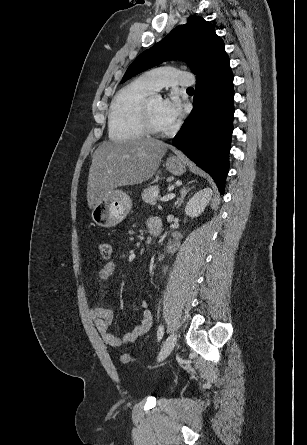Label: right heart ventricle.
I'll return each instance as SVG.
<instances>
[{
	"mask_svg": "<svg viewBox=\"0 0 307 445\" xmlns=\"http://www.w3.org/2000/svg\"><path fill=\"white\" fill-rule=\"evenodd\" d=\"M154 91L147 80H137L117 94L108 113L111 139L147 140L140 109Z\"/></svg>",
	"mask_w": 307,
	"mask_h": 445,
	"instance_id": "obj_1",
	"label": "right heart ventricle"
}]
</instances>
